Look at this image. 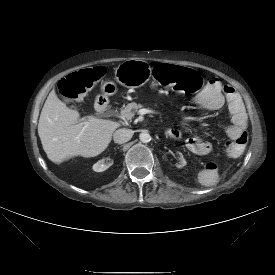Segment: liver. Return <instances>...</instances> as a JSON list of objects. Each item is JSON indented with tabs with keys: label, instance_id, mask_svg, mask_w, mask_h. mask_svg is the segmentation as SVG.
<instances>
[{
	"label": "liver",
	"instance_id": "6515ba94",
	"mask_svg": "<svg viewBox=\"0 0 275 275\" xmlns=\"http://www.w3.org/2000/svg\"><path fill=\"white\" fill-rule=\"evenodd\" d=\"M118 122L95 117L81 118L68 108L53 89L42 108L38 135L49 160L60 164L75 156L95 157L109 145Z\"/></svg>",
	"mask_w": 275,
	"mask_h": 275
}]
</instances>
